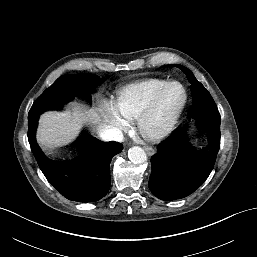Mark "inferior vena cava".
<instances>
[{"label":"inferior vena cava","mask_w":257,"mask_h":257,"mask_svg":"<svg viewBox=\"0 0 257 257\" xmlns=\"http://www.w3.org/2000/svg\"><path fill=\"white\" fill-rule=\"evenodd\" d=\"M110 136L113 140H122L123 133L119 129L114 128V129H111Z\"/></svg>","instance_id":"inferior-vena-cava-1"}]
</instances>
